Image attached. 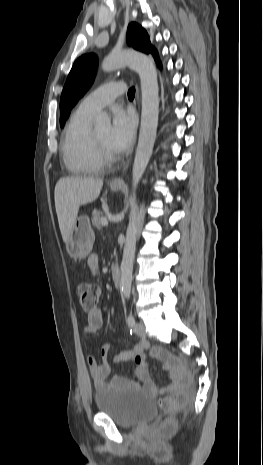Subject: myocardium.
Listing matches in <instances>:
<instances>
[{"mask_svg":"<svg viewBox=\"0 0 263 465\" xmlns=\"http://www.w3.org/2000/svg\"><path fill=\"white\" fill-rule=\"evenodd\" d=\"M91 139L99 159L103 163H111L117 159V154L108 150L94 135L91 133Z\"/></svg>","mask_w":263,"mask_h":465,"instance_id":"f54148a6","label":"myocardium"}]
</instances>
